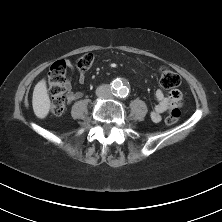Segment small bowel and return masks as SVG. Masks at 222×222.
I'll list each match as a JSON object with an SVG mask.
<instances>
[{
  "instance_id": "1",
  "label": "small bowel",
  "mask_w": 222,
  "mask_h": 222,
  "mask_svg": "<svg viewBox=\"0 0 222 222\" xmlns=\"http://www.w3.org/2000/svg\"><path fill=\"white\" fill-rule=\"evenodd\" d=\"M86 76L83 72L79 74V82L84 83ZM66 98L69 102L75 101L82 96L81 92L74 91L72 81L70 78L65 82ZM155 99L157 104L152 109L150 117L154 122H160L162 114L173 109L176 111L182 110L185 107L186 101L182 93L178 90H173L168 97L161 90L155 92Z\"/></svg>"
}]
</instances>
